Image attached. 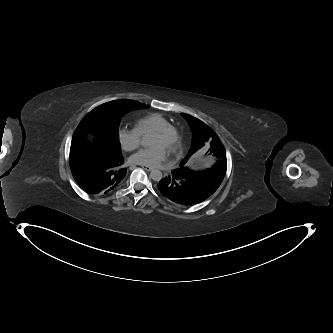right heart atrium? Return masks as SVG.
I'll use <instances>...</instances> for the list:
<instances>
[{
  "mask_svg": "<svg viewBox=\"0 0 333 333\" xmlns=\"http://www.w3.org/2000/svg\"><path fill=\"white\" fill-rule=\"evenodd\" d=\"M118 140L123 150L132 152L140 146L142 135L136 128L121 127L118 131Z\"/></svg>",
  "mask_w": 333,
  "mask_h": 333,
  "instance_id": "1",
  "label": "right heart atrium"
}]
</instances>
